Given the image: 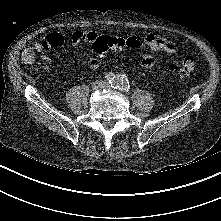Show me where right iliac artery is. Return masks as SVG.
Instances as JSON below:
<instances>
[{
	"label": "right iliac artery",
	"mask_w": 221,
	"mask_h": 221,
	"mask_svg": "<svg viewBox=\"0 0 221 221\" xmlns=\"http://www.w3.org/2000/svg\"><path fill=\"white\" fill-rule=\"evenodd\" d=\"M105 78L111 85H113L115 83V76L113 73L106 74Z\"/></svg>",
	"instance_id": "82829eb1"
}]
</instances>
